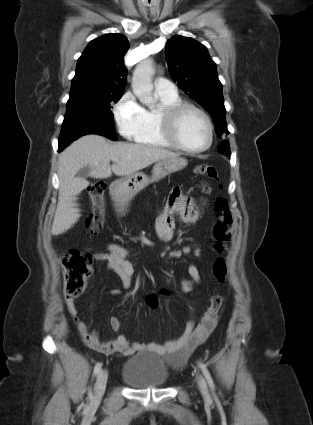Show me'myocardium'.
I'll use <instances>...</instances> for the list:
<instances>
[{"mask_svg":"<svg viewBox=\"0 0 313 425\" xmlns=\"http://www.w3.org/2000/svg\"><path fill=\"white\" fill-rule=\"evenodd\" d=\"M190 112H196L203 117L208 128L207 143L197 149L185 146L179 138V126L182 118ZM159 124L163 137L176 149L185 153L198 154L207 151L214 141V126L210 116L200 107L189 103H179L173 106L164 107L159 112Z\"/></svg>","mask_w":313,"mask_h":425,"instance_id":"myocardium-1","label":"myocardium"}]
</instances>
